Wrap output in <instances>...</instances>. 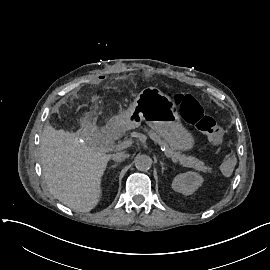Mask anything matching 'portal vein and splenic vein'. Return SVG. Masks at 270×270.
<instances>
[{
  "label": "portal vein and splenic vein",
  "instance_id": "18ae733b",
  "mask_svg": "<svg viewBox=\"0 0 270 270\" xmlns=\"http://www.w3.org/2000/svg\"><path fill=\"white\" fill-rule=\"evenodd\" d=\"M132 142H133V139H132L131 137H128L126 140L119 142V144H116V145L114 146V149H115L116 151H119L120 149H121V150H124V149H126V148L131 147ZM171 160L174 162V164H178V163L180 162V161H179L178 159H176L174 156L171 158Z\"/></svg>",
  "mask_w": 270,
  "mask_h": 270
}]
</instances>
